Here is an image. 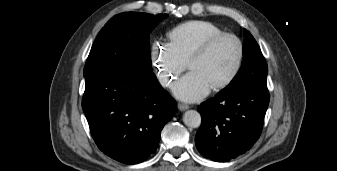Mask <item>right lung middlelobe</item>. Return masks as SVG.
I'll list each match as a JSON object with an SVG mask.
<instances>
[{"mask_svg":"<svg viewBox=\"0 0 337 171\" xmlns=\"http://www.w3.org/2000/svg\"><path fill=\"white\" fill-rule=\"evenodd\" d=\"M126 12L114 16L97 35L84 68V76L92 71L118 67L138 75L152 74L149 34L167 18Z\"/></svg>","mask_w":337,"mask_h":171,"instance_id":"1","label":"right lung middle lobe"}]
</instances>
